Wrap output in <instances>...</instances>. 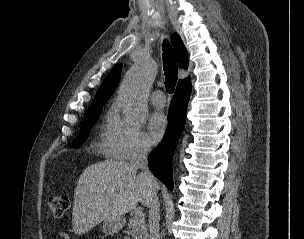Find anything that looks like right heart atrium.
Segmentation results:
<instances>
[{"label": "right heart atrium", "instance_id": "1", "mask_svg": "<svg viewBox=\"0 0 304 239\" xmlns=\"http://www.w3.org/2000/svg\"><path fill=\"white\" fill-rule=\"evenodd\" d=\"M100 146L111 156L123 160L143 156L149 151V144L142 130L128 124L118 115L110 119Z\"/></svg>", "mask_w": 304, "mask_h": 239}]
</instances>
